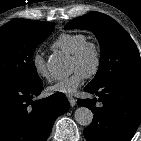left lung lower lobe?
I'll return each mask as SVG.
<instances>
[{
	"label": "left lung lower lobe",
	"mask_w": 141,
	"mask_h": 141,
	"mask_svg": "<svg viewBox=\"0 0 141 141\" xmlns=\"http://www.w3.org/2000/svg\"><path fill=\"white\" fill-rule=\"evenodd\" d=\"M85 91L97 99H79V105L92 110V123L84 129L87 141H130L141 121V80L119 79L100 86L87 85Z\"/></svg>",
	"instance_id": "obj_1"
}]
</instances>
